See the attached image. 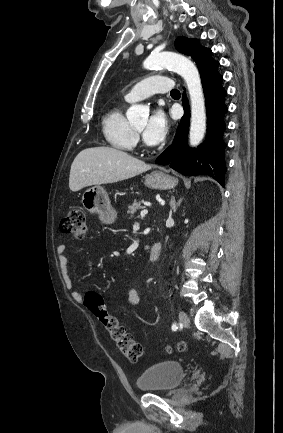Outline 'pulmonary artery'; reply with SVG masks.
<instances>
[{"label": "pulmonary artery", "instance_id": "1", "mask_svg": "<svg viewBox=\"0 0 283 433\" xmlns=\"http://www.w3.org/2000/svg\"><path fill=\"white\" fill-rule=\"evenodd\" d=\"M173 89H176V86H173V81L170 78H164L163 72H154L152 77L144 78L128 90L125 94V100L133 102L155 93L172 92Z\"/></svg>", "mask_w": 283, "mask_h": 433}]
</instances>
